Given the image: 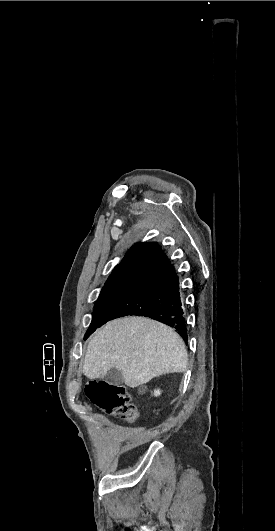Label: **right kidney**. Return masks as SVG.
I'll return each instance as SVG.
<instances>
[{"label": "right kidney", "instance_id": "1", "mask_svg": "<svg viewBox=\"0 0 275 531\" xmlns=\"http://www.w3.org/2000/svg\"><path fill=\"white\" fill-rule=\"evenodd\" d=\"M146 391V387H143V389H139V393H145ZM159 395H161V391H159V389H157V391H154V397H159Z\"/></svg>", "mask_w": 275, "mask_h": 531}]
</instances>
